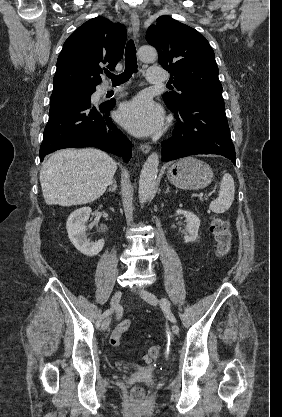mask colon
Returning <instances> with one entry per match:
<instances>
[{
    "label": "colon",
    "instance_id": "1",
    "mask_svg": "<svg viewBox=\"0 0 282 417\" xmlns=\"http://www.w3.org/2000/svg\"><path fill=\"white\" fill-rule=\"evenodd\" d=\"M210 230L215 239L216 255L218 258H224L231 248V233L229 223L226 219L219 216H212L210 218ZM132 322L130 319L122 320L112 331L109 338V344L112 348H117L120 345L122 337L131 329ZM161 346L152 345L149 346L145 360L147 362H154L161 357ZM132 403H147L148 390L144 389L143 385H138L137 389L131 390Z\"/></svg>",
    "mask_w": 282,
    "mask_h": 417
}]
</instances>
